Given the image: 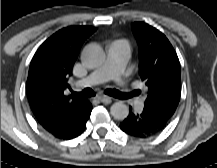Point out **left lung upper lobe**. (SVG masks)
<instances>
[{
	"mask_svg": "<svg viewBox=\"0 0 217 168\" xmlns=\"http://www.w3.org/2000/svg\"><path fill=\"white\" fill-rule=\"evenodd\" d=\"M139 43L140 77L146 85V108L172 117L181 96V76L178 56L166 36L143 23L132 24Z\"/></svg>",
	"mask_w": 217,
	"mask_h": 168,
	"instance_id": "left-lung-upper-lobe-1",
	"label": "left lung upper lobe"
}]
</instances>
